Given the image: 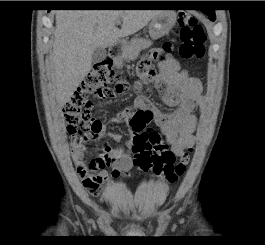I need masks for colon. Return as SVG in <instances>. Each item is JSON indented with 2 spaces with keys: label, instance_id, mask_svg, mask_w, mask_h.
<instances>
[{
  "label": "colon",
  "instance_id": "1",
  "mask_svg": "<svg viewBox=\"0 0 265 245\" xmlns=\"http://www.w3.org/2000/svg\"><path fill=\"white\" fill-rule=\"evenodd\" d=\"M177 33L182 58H200L204 55L205 33L195 17L181 12L178 16ZM170 48L171 44H166L165 50ZM158 58L163 60L162 55L158 54ZM137 74L139 85L148 84L156 78L148 62L139 64ZM129 87L130 77L116 73L111 60L97 62L63 109L71 138L81 144L93 139L100 130L99 121L92 116L94 105L100 100L123 94ZM150 120V116L142 110L137 111L129 120L134 134L133 164L142 172L152 171L174 183L186 172L192 148L184 151L176 162V155L165 144L163 136L148 127Z\"/></svg>",
  "mask_w": 265,
  "mask_h": 245
}]
</instances>
